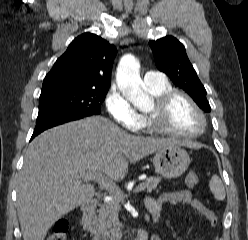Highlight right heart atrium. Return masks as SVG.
<instances>
[{"label":"right heart atrium","mask_w":248,"mask_h":240,"mask_svg":"<svg viewBox=\"0 0 248 240\" xmlns=\"http://www.w3.org/2000/svg\"><path fill=\"white\" fill-rule=\"evenodd\" d=\"M105 103L109 115L126 129L138 131L143 126V117L132 107L117 87L113 86L109 90Z\"/></svg>","instance_id":"d8ad5b80"}]
</instances>
